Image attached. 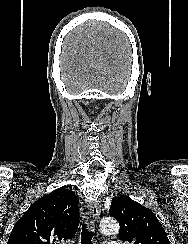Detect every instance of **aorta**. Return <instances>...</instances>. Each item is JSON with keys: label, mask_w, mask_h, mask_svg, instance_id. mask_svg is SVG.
<instances>
[{"label": "aorta", "mask_w": 188, "mask_h": 244, "mask_svg": "<svg viewBox=\"0 0 188 244\" xmlns=\"http://www.w3.org/2000/svg\"><path fill=\"white\" fill-rule=\"evenodd\" d=\"M100 230L106 235L116 234L119 230L117 221L113 217H104L100 221Z\"/></svg>", "instance_id": "1"}]
</instances>
